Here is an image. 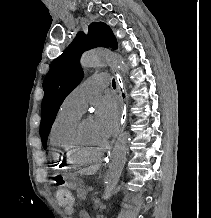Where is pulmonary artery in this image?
Wrapping results in <instances>:
<instances>
[{"label":"pulmonary artery","mask_w":211,"mask_h":218,"mask_svg":"<svg viewBox=\"0 0 211 218\" xmlns=\"http://www.w3.org/2000/svg\"><path fill=\"white\" fill-rule=\"evenodd\" d=\"M109 74H99L91 76L89 79H102V80H84L83 84L74 88L65 98L63 105L79 113H83L87 101L92 93L95 91H104V87L110 85Z\"/></svg>","instance_id":"obj_1"}]
</instances>
